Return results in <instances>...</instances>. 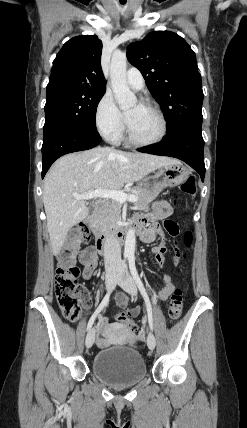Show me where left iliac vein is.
Segmentation results:
<instances>
[{
  "label": "left iliac vein",
  "mask_w": 247,
  "mask_h": 428,
  "mask_svg": "<svg viewBox=\"0 0 247 428\" xmlns=\"http://www.w3.org/2000/svg\"><path fill=\"white\" fill-rule=\"evenodd\" d=\"M117 283L118 285L124 289L127 293H129L132 297H135L137 295V287L133 280V278L130 276L127 266L125 263H122L119 273L117 275ZM147 345L150 350H153L156 346V339L153 333H149L147 337Z\"/></svg>",
  "instance_id": "left-iliac-vein-1"
}]
</instances>
